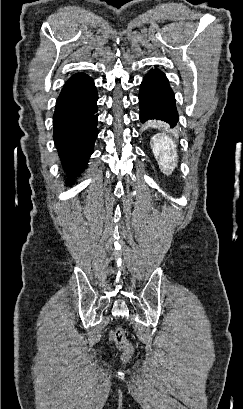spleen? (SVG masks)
<instances>
[{
	"instance_id": "3e777b00",
	"label": "spleen",
	"mask_w": 243,
	"mask_h": 409,
	"mask_svg": "<svg viewBox=\"0 0 243 409\" xmlns=\"http://www.w3.org/2000/svg\"><path fill=\"white\" fill-rule=\"evenodd\" d=\"M151 147L161 171L170 175L176 167L178 157L173 139L166 134H157L152 138Z\"/></svg>"
}]
</instances>
